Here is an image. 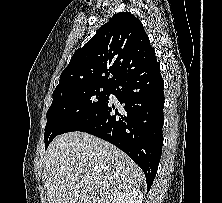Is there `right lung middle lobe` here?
Masks as SVG:
<instances>
[{
    "mask_svg": "<svg viewBox=\"0 0 222 203\" xmlns=\"http://www.w3.org/2000/svg\"><path fill=\"white\" fill-rule=\"evenodd\" d=\"M110 89L111 86L84 85L53 92V101L46 115L45 147L66 127L104 104Z\"/></svg>",
    "mask_w": 222,
    "mask_h": 203,
    "instance_id": "dd1d6c3e",
    "label": "right lung middle lobe"
}]
</instances>
